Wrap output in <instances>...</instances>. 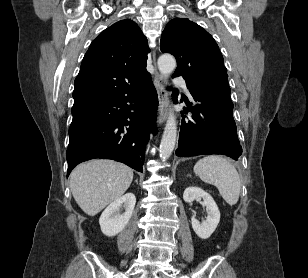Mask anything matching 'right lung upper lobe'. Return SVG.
<instances>
[{
  "label": "right lung upper lobe",
  "instance_id": "right-lung-upper-lobe-1",
  "mask_svg": "<svg viewBox=\"0 0 308 278\" xmlns=\"http://www.w3.org/2000/svg\"><path fill=\"white\" fill-rule=\"evenodd\" d=\"M146 37L132 20H121L91 43L74 82L72 111L125 96L150 77Z\"/></svg>",
  "mask_w": 308,
  "mask_h": 278
}]
</instances>
